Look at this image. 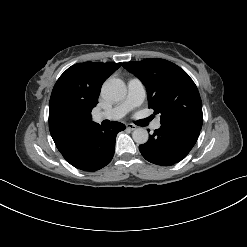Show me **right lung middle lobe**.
I'll use <instances>...</instances> for the list:
<instances>
[{
	"mask_svg": "<svg viewBox=\"0 0 247 247\" xmlns=\"http://www.w3.org/2000/svg\"><path fill=\"white\" fill-rule=\"evenodd\" d=\"M65 120L68 122V123H71V124H74V125H82L84 124L86 121L84 119H81L75 115H66L65 116Z\"/></svg>",
	"mask_w": 247,
	"mask_h": 247,
	"instance_id": "dd1d6c3e",
	"label": "right lung middle lobe"
}]
</instances>
